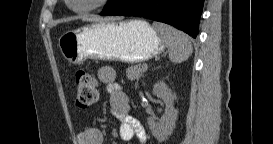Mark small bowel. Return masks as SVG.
Wrapping results in <instances>:
<instances>
[{"label": "small bowel", "instance_id": "1", "mask_svg": "<svg viewBox=\"0 0 273 144\" xmlns=\"http://www.w3.org/2000/svg\"><path fill=\"white\" fill-rule=\"evenodd\" d=\"M115 71L111 67H102L98 78L102 83L110 84L109 106L111 113L119 120V136L123 141H130L136 137L140 143H146L147 136L140 122L131 115L129 97L115 82ZM104 140L100 129L89 127L76 136V144H102Z\"/></svg>", "mask_w": 273, "mask_h": 144}]
</instances>
